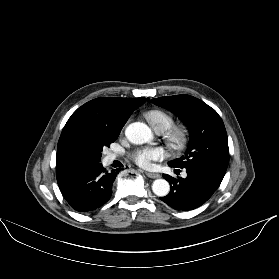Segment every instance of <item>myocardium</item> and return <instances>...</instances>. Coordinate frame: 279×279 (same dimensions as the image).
I'll return each instance as SVG.
<instances>
[{
	"label": "myocardium",
	"mask_w": 279,
	"mask_h": 279,
	"mask_svg": "<svg viewBox=\"0 0 279 279\" xmlns=\"http://www.w3.org/2000/svg\"><path fill=\"white\" fill-rule=\"evenodd\" d=\"M165 138L172 149L180 151L187 143L188 131L182 125H174L167 129Z\"/></svg>",
	"instance_id": "obj_1"
}]
</instances>
